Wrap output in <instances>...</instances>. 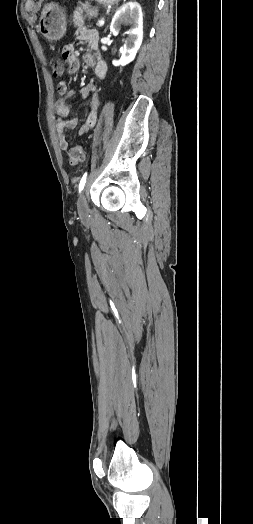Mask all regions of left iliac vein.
I'll list each match as a JSON object with an SVG mask.
<instances>
[{"label":"left iliac vein","instance_id":"4c4485c4","mask_svg":"<svg viewBox=\"0 0 253 524\" xmlns=\"http://www.w3.org/2000/svg\"><path fill=\"white\" fill-rule=\"evenodd\" d=\"M85 191H86V188L79 195L78 200H77L78 212L82 216L86 215L88 213V206H87V200H86V196H85Z\"/></svg>","mask_w":253,"mask_h":524}]
</instances>
